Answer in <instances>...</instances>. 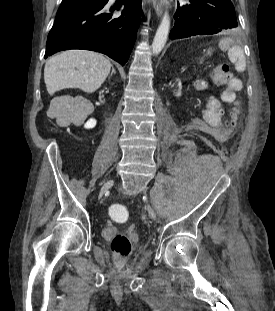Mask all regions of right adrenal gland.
Segmentation results:
<instances>
[{"mask_svg": "<svg viewBox=\"0 0 275 311\" xmlns=\"http://www.w3.org/2000/svg\"><path fill=\"white\" fill-rule=\"evenodd\" d=\"M111 67H112V72H111V74H110L109 78H111V77H112V75L116 73L114 66H113V65H111Z\"/></svg>", "mask_w": 275, "mask_h": 311, "instance_id": "2a0ac1e0", "label": "right adrenal gland"}]
</instances>
